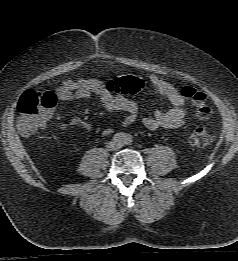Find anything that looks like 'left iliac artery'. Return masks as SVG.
<instances>
[{"instance_id": "44dca946", "label": "left iliac artery", "mask_w": 238, "mask_h": 261, "mask_svg": "<svg viewBox=\"0 0 238 261\" xmlns=\"http://www.w3.org/2000/svg\"><path fill=\"white\" fill-rule=\"evenodd\" d=\"M132 142H133L132 136H131L130 134H126V135H125V139H124V143H125L126 145H131Z\"/></svg>"}]
</instances>
